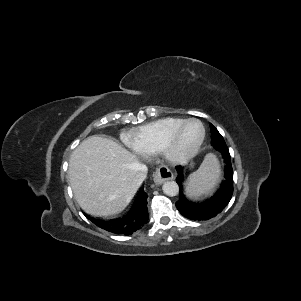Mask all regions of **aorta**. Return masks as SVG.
Masks as SVG:
<instances>
[{"label":"aorta","mask_w":301,"mask_h":301,"mask_svg":"<svg viewBox=\"0 0 301 301\" xmlns=\"http://www.w3.org/2000/svg\"><path fill=\"white\" fill-rule=\"evenodd\" d=\"M162 190L168 196H176L179 193V186L174 181H167L163 184Z\"/></svg>","instance_id":"1"}]
</instances>
